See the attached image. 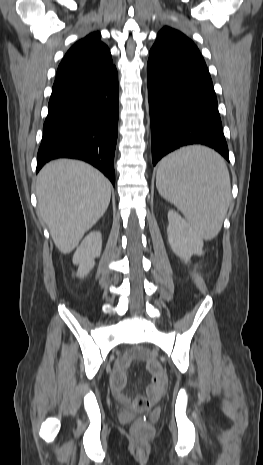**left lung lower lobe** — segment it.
<instances>
[{"label": "left lung lower lobe", "instance_id": "0a47b994", "mask_svg": "<svg viewBox=\"0 0 263 465\" xmlns=\"http://www.w3.org/2000/svg\"><path fill=\"white\" fill-rule=\"evenodd\" d=\"M147 79L153 165L190 144L209 146L229 161L217 98L201 54L153 45Z\"/></svg>", "mask_w": 263, "mask_h": 465}]
</instances>
